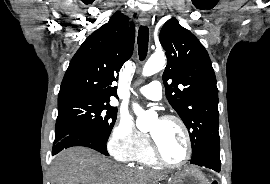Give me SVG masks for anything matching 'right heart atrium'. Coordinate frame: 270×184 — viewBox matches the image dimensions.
Segmentation results:
<instances>
[{
  "label": "right heart atrium",
  "instance_id": "right-heart-atrium-1",
  "mask_svg": "<svg viewBox=\"0 0 270 184\" xmlns=\"http://www.w3.org/2000/svg\"><path fill=\"white\" fill-rule=\"evenodd\" d=\"M149 144L147 135L135 127L128 116H120L114 124L107 148L110 154L118 161L131 162Z\"/></svg>",
  "mask_w": 270,
  "mask_h": 184
}]
</instances>
